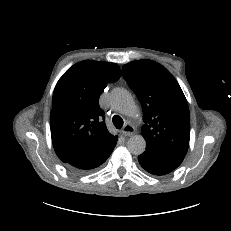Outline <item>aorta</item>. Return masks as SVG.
Here are the masks:
<instances>
[{
    "mask_svg": "<svg viewBox=\"0 0 231 231\" xmlns=\"http://www.w3.org/2000/svg\"><path fill=\"white\" fill-rule=\"evenodd\" d=\"M111 105L117 112L126 116L139 114L132 95L122 88H117L112 92ZM127 148L130 153L140 155L146 149V141L142 135H134L129 138Z\"/></svg>",
    "mask_w": 231,
    "mask_h": 231,
    "instance_id": "aorta-1",
    "label": "aorta"
}]
</instances>
